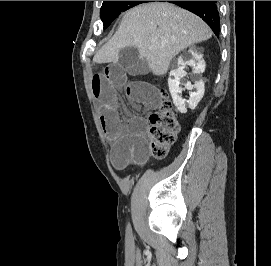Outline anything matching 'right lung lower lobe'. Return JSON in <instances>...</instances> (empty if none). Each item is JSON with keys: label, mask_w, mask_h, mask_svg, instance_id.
Returning <instances> with one entry per match:
<instances>
[{"label": "right lung lower lobe", "mask_w": 271, "mask_h": 266, "mask_svg": "<svg viewBox=\"0 0 271 266\" xmlns=\"http://www.w3.org/2000/svg\"><path fill=\"white\" fill-rule=\"evenodd\" d=\"M167 2L176 4L198 15L211 27L215 35L219 36L220 18L217 8V1H167Z\"/></svg>", "instance_id": "right-lung-lower-lobe-1"}]
</instances>
